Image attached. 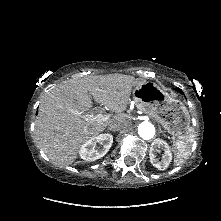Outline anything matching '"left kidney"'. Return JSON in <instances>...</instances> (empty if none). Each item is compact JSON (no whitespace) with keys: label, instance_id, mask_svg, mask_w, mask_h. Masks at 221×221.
Here are the masks:
<instances>
[{"label":"left kidney","instance_id":"left-kidney-1","mask_svg":"<svg viewBox=\"0 0 221 221\" xmlns=\"http://www.w3.org/2000/svg\"><path fill=\"white\" fill-rule=\"evenodd\" d=\"M160 150L164 151V154L162 156V160L159 161L156 158V153ZM150 162L151 164L156 167L158 170H165L168 168L171 160H172V154L170 151L169 145L162 139H155L153 143L151 144L150 151Z\"/></svg>","mask_w":221,"mask_h":221}]
</instances>
